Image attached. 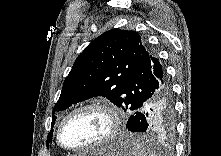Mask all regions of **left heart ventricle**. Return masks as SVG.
Listing matches in <instances>:
<instances>
[{
	"label": "left heart ventricle",
	"mask_w": 221,
	"mask_h": 156,
	"mask_svg": "<svg viewBox=\"0 0 221 156\" xmlns=\"http://www.w3.org/2000/svg\"><path fill=\"white\" fill-rule=\"evenodd\" d=\"M109 118L101 110L88 109L69 119L62 132L66 146L77 148L91 145L101 139L109 129Z\"/></svg>",
	"instance_id": "left-heart-ventricle-1"
}]
</instances>
